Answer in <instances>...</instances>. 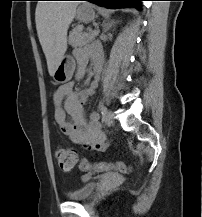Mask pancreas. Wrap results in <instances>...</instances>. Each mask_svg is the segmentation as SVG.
Segmentation results:
<instances>
[{"label": "pancreas", "mask_w": 202, "mask_h": 217, "mask_svg": "<svg viewBox=\"0 0 202 217\" xmlns=\"http://www.w3.org/2000/svg\"><path fill=\"white\" fill-rule=\"evenodd\" d=\"M94 34L82 32V27H75L69 34V44L73 47L84 46L94 40Z\"/></svg>", "instance_id": "cf45deb5"}]
</instances>
